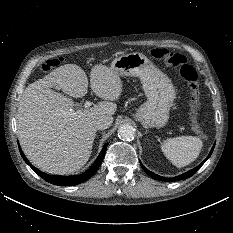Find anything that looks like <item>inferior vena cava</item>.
Wrapping results in <instances>:
<instances>
[{
  "mask_svg": "<svg viewBox=\"0 0 233 233\" xmlns=\"http://www.w3.org/2000/svg\"><path fill=\"white\" fill-rule=\"evenodd\" d=\"M112 122H113L112 116L101 115L94 121V124L97 129L105 130L111 125Z\"/></svg>",
  "mask_w": 233,
  "mask_h": 233,
  "instance_id": "1",
  "label": "inferior vena cava"
}]
</instances>
